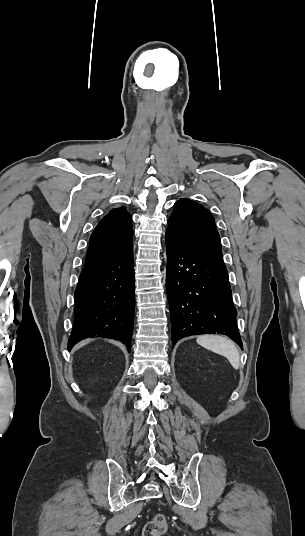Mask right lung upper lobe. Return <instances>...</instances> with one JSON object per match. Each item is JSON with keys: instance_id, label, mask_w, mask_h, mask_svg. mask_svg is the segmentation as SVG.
Here are the masks:
<instances>
[{"instance_id": "obj_1", "label": "right lung upper lobe", "mask_w": 305, "mask_h": 536, "mask_svg": "<svg viewBox=\"0 0 305 536\" xmlns=\"http://www.w3.org/2000/svg\"><path fill=\"white\" fill-rule=\"evenodd\" d=\"M131 222V215L124 208L112 209L92 233L85 261L105 258L132 248Z\"/></svg>"}]
</instances>
